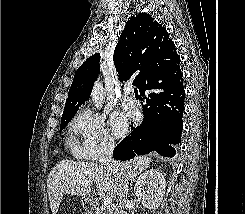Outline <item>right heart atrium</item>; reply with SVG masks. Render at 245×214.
<instances>
[{
    "instance_id": "1",
    "label": "right heart atrium",
    "mask_w": 245,
    "mask_h": 214,
    "mask_svg": "<svg viewBox=\"0 0 245 214\" xmlns=\"http://www.w3.org/2000/svg\"><path fill=\"white\" fill-rule=\"evenodd\" d=\"M72 149L76 157L96 160L109 154L113 149V139L104 120L90 110L77 113L70 126Z\"/></svg>"
}]
</instances>
